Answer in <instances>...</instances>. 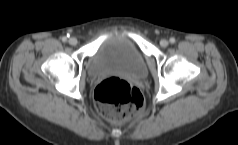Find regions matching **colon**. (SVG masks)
<instances>
[{"label": "colon", "instance_id": "5ec220e1", "mask_svg": "<svg viewBox=\"0 0 238 145\" xmlns=\"http://www.w3.org/2000/svg\"><path fill=\"white\" fill-rule=\"evenodd\" d=\"M97 109L107 119L123 121L140 115L144 100L139 89L120 77H109L94 91Z\"/></svg>", "mask_w": 238, "mask_h": 145}]
</instances>
